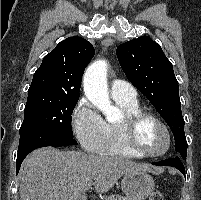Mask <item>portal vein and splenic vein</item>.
Here are the masks:
<instances>
[{"label": "portal vein and splenic vein", "mask_w": 201, "mask_h": 200, "mask_svg": "<svg viewBox=\"0 0 201 200\" xmlns=\"http://www.w3.org/2000/svg\"><path fill=\"white\" fill-rule=\"evenodd\" d=\"M92 185H93V182L88 183L87 187L85 188V191L89 190L92 187Z\"/></svg>", "instance_id": "portal-vein-and-splenic-vein-1"}]
</instances>
